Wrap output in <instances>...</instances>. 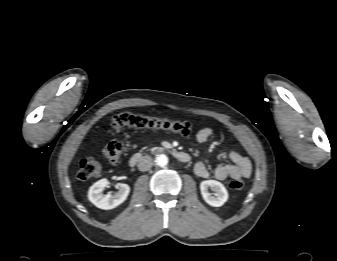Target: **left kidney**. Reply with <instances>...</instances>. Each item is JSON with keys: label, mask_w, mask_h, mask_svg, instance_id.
I'll use <instances>...</instances> for the list:
<instances>
[{"label": "left kidney", "mask_w": 337, "mask_h": 261, "mask_svg": "<svg viewBox=\"0 0 337 261\" xmlns=\"http://www.w3.org/2000/svg\"><path fill=\"white\" fill-rule=\"evenodd\" d=\"M215 191L212 196L208 190ZM200 191L206 203L213 207H220L228 200V192L224 185L216 180H205L200 183Z\"/></svg>", "instance_id": "obj_1"}]
</instances>
